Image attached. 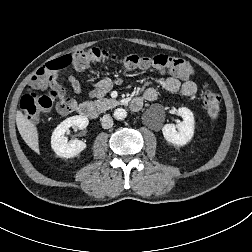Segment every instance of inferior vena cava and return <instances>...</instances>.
Here are the masks:
<instances>
[{
  "label": "inferior vena cava",
  "instance_id": "obj_1",
  "mask_svg": "<svg viewBox=\"0 0 252 252\" xmlns=\"http://www.w3.org/2000/svg\"><path fill=\"white\" fill-rule=\"evenodd\" d=\"M101 124L104 129L111 128L113 126V119L110 115L106 114L101 119Z\"/></svg>",
  "mask_w": 252,
  "mask_h": 252
}]
</instances>
